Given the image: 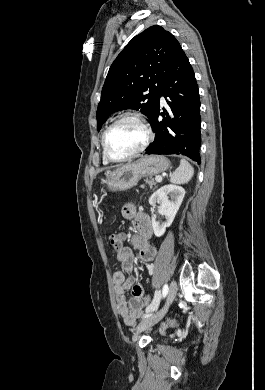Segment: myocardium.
Returning a JSON list of instances; mask_svg holds the SVG:
<instances>
[{
  "label": "myocardium",
  "instance_id": "f54148a6",
  "mask_svg": "<svg viewBox=\"0 0 265 390\" xmlns=\"http://www.w3.org/2000/svg\"><path fill=\"white\" fill-rule=\"evenodd\" d=\"M128 120L136 122L142 128V130L144 131V135H145L144 141L136 150L129 153L128 155H126L124 157H120V158L113 157L110 154V152L108 151V147H107L108 135H109L110 131L117 124H119L123 121H128ZM152 139H153L152 130H151L149 124L147 123V121L141 115L136 114V113H124V114L120 115L116 120H114L104 131L103 136H102L103 154L106 157V159L110 162H115V163L125 162V161H128V160L138 156L142 152H144L146 150V148L150 145Z\"/></svg>",
  "mask_w": 265,
  "mask_h": 390
}]
</instances>
